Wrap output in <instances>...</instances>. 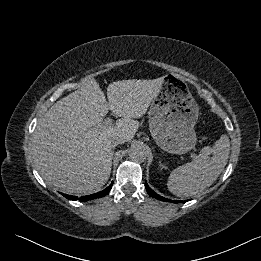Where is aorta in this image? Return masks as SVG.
<instances>
[{
	"instance_id": "obj_1",
	"label": "aorta",
	"mask_w": 261,
	"mask_h": 261,
	"mask_svg": "<svg viewBox=\"0 0 261 261\" xmlns=\"http://www.w3.org/2000/svg\"><path fill=\"white\" fill-rule=\"evenodd\" d=\"M146 156V151L141 145H135L129 151V158L136 163H143Z\"/></svg>"
}]
</instances>
